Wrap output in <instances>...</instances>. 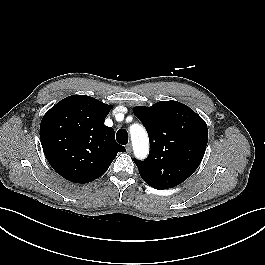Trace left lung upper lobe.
Masks as SVG:
<instances>
[{
    "label": "left lung upper lobe",
    "mask_w": 265,
    "mask_h": 265,
    "mask_svg": "<svg viewBox=\"0 0 265 265\" xmlns=\"http://www.w3.org/2000/svg\"><path fill=\"white\" fill-rule=\"evenodd\" d=\"M134 113L150 137L149 156L144 161L134 159L142 179L156 189L185 181L203 159L208 141L205 121L177 101L137 106Z\"/></svg>",
    "instance_id": "5c2ea615"
}]
</instances>
